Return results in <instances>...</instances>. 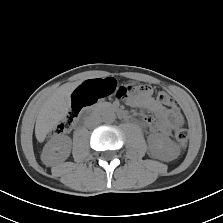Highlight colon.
<instances>
[{
    "label": "colon",
    "mask_w": 223,
    "mask_h": 223,
    "mask_svg": "<svg viewBox=\"0 0 223 223\" xmlns=\"http://www.w3.org/2000/svg\"><path fill=\"white\" fill-rule=\"evenodd\" d=\"M132 91V87L121 85L118 86L112 78H106L104 80H88L79 86L73 94L72 107L66 117L55 128V134H64L73 125L75 119L79 115L80 111L86 107L96 103L99 99L114 95L119 99H127L129 93ZM157 100L161 105H171L173 103L172 98L165 92H160L157 96ZM175 138L181 150H185L188 145V133L182 128L178 127L175 130Z\"/></svg>",
    "instance_id": "obj_1"
}]
</instances>
